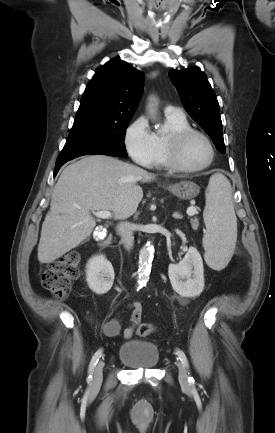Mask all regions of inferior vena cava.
Segmentation results:
<instances>
[{
  "label": "inferior vena cava",
  "mask_w": 275,
  "mask_h": 433,
  "mask_svg": "<svg viewBox=\"0 0 275 433\" xmlns=\"http://www.w3.org/2000/svg\"><path fill=\"white\" fill-rule=\"evenodd\" d=\"M117 233L121 237V242L126 249H131L134 243L133 226L129 222H121L118 224Z\"/></svg>",
  "instance_id": "inferior-vena-cava-1"
}]
</instances>
